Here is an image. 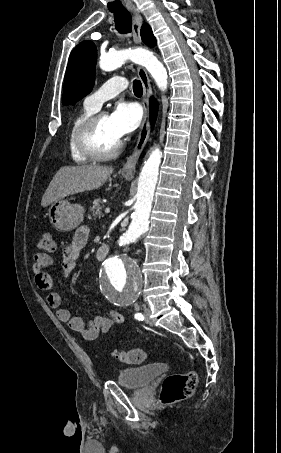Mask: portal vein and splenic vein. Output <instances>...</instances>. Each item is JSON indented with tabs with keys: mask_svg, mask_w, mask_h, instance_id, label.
Here are the masks:
<instances>
[{
	"mask_svg": "<svg viewBox=\"0 0 281 453\" xmlns=\"http://www.w3.org/2000/svg\"><path fill=\"white\" fill-rule=\"evenodd\" d=\"M105 212H107V214H110V208H105Z\"/></svg>",
	"mask_w": 281,
	"mask_h": 453,
	"instance_id": "portal-vein-and-splenic-vein-1",
	"label": "portal vein and splenic vein"
}]
</instances>
